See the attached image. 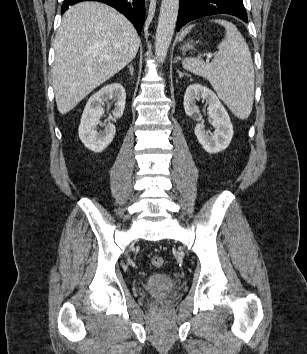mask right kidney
Listing matches in <instances>:
<instances>
[{"label":"right kidney","instance_id":"right-kidney-1","mask_svg":"<svg viewBox=\"0 0 307 354\" xmlns=\"http://www.w3.org/2000/svg\"><path fill=\"white\" fill-rule=\"evenodd\" d=\"M112 100L115 108L112 114L115 118H120L126 103V92L120 83H112L101 88L93 94L83 111L79 126V137L83 144L90 150L102 152L113 140L116 129L112 123L105 125L103 131L98 132L96 127L100 124V117L104 114L103 105Z\"/></svg>","mask_w":307,"mask_h":354}]
</instances>
